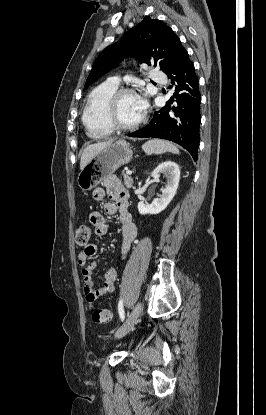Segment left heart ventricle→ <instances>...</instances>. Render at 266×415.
<instances>
[{
	"label": "left heart ventricle",
	"mask_w": 266,
	"mask_h": 415,
	"mask_svg": "<svg viewBox=\"0 0 266 415\" xmlns=\"http://www.w3.org/2000/svg\"><path fill=\"white\" fill-rule=\"evenodd\" d=\"M143 111L138 107L134 95L122 96L117 104V117L123 124H134L142 116Z\"/></svg>",
	"instance_id": "left-heart-ventricle-1"
}]
</instances>
